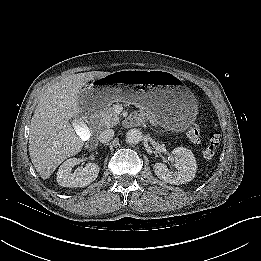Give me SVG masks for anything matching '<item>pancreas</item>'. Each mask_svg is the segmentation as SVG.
<instances>
[{
  "mask_svg": "<svg viewBox=\"0 0 261 261\" xmlns=\"http://www.w3.org/2000/svg\"><path fill=\"white\" fill-rule=\"evenodd\" d=\"M100 126L111 128L119 123V116L112 106H108L100 113Z\"/></svg>",
  "mask_w": 261,
  "mask_h": 261,
  "instance_id": "pancreas-1",
  "label": "pancreas"
}]
</instances>
